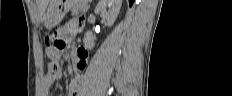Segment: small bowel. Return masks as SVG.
Instances as JSON below:
<instances>
[{
  "instance_id": "small-bowel-1",
  "label": "small bowel",
  "mask_w": 232,
  "mask_h": 96,
  "mask_svg": "<svg viewBox=\"0 0 232 96\" xmlns=\"http://www.w3.org/2000/svg\"><path fill=\"white\" fill-rule=\"evenodd\" d=\"M87 11H76V15H74V19L67 22L60 30V35L62 36V40L64 43H79V38H74L76 35H83L82 27H86V22L83 20H87ZM48 53L50 50L47 49ZM74 67L77 71V76L73 80L70 85L69 96H78V83L80 79V74L84 71L87 65V54L85 51L78 49L73 53ZM62 78L61 68L55 73H48L44 76L42 80V90L41 93L43 95H48L50 87L55 83V81Z\"/></svg>"
}]
</instances>
